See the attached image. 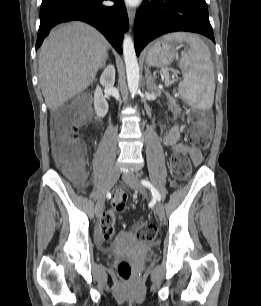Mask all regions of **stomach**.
<instances>
[{
    "label": "stomach",
    "instance_id": "obj_1",
    "mask_svg": "<svg viewBox=\"0 0 261 306\" xmlns=\"http://www.w3.org/2000/svg\"><path fill=\"white\" fill-rule=\"evenodd\" d=\"M179 47L172 41L157 40L145 51V63L153 67L168 66L177 56L176 51Z\"/></svg>",
    "mask_w": 261,
    "mask_h": 306
}]
</instances>
